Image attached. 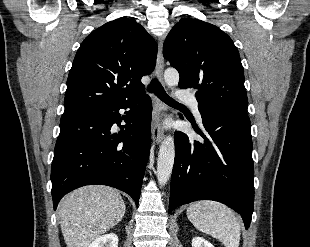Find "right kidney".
<instances>
[{
	"label": "right kidney",
	"mask_w": 310,
	"mask_h": 247,
	"mask_svg": "<svg viewBox=\"0 0 310 247\" xmlns=\"http://www.w3.org/2000/svg\"><path fill=\"white\" fill-rule=\"evenodd\" d=\"M88 247H118V236L114 233L105 234L95 239Z\"/></svg>",
	"instance_id": "right-kidney-1"
}]
</instances>
